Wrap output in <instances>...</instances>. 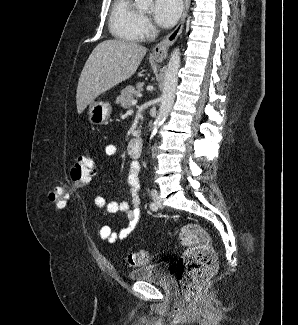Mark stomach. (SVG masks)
Listing matches in <instances>:
<instances>
[{"label": "stomach", "instance_id": "0dacf381", "mask_svg": "<svg viewBox=\"0 0 298 325\" xmlns=\"http://www.w3.org/2000/svg\"><path fill=\"white\" fill-rule=\"evenodd\" d=\"M154 62H163L164 58H156L152 56ZM112 112L111 102H105V100H94L92 104H89L88 116L92 124H103L108 118H110Z\"/></svg>", "mask_w": 298, "mask_h": 325}]
</instances>
